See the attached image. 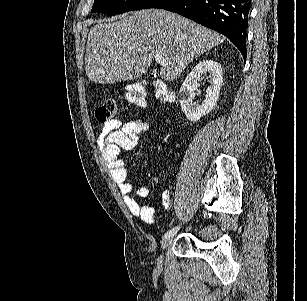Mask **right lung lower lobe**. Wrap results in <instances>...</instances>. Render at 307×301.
<instances>
[{"mask_svg": "<svg viewBox=\"0 0 307 301\" xmlns=\"http://www.w3.org/2000/svg\"><path fill=\"white\" fill-rule=\"evenodd\" d=\"M251 0H152L143 9L163 8L183 15L230 39L246 58Z\"/></svg>", "mask_w": 307, "mask_h": 301, "instance_id": "right-lung-lower-lobe-1", "label": "right lung lower lobe"}]
</instances>
